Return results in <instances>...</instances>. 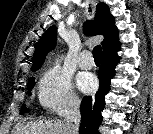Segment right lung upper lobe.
<instances>
[{"instance_id": "cb5924a9", "label": "right lung upper lobe", "mask_w": 153, "mask_h": 134, "mask_svg": "<svg viewBox=\"0 0 153 134\" xmlns=\"http://www.w3.org/2000/svg\"><path fill=\"white\" fill-rule=\"evenodd\" d=\"M56 26L49 27L40 40L37 42L35 53L32 58V70L39 69L47 55L56 44ZM87 35L104 36L102 41L103 51L110 49L120 42L118 41V30L115 26L114 17L109 12V7L105 3H99L96 10V18L93 22H87L84 26Z\"/></svg>"}]
</instances>
